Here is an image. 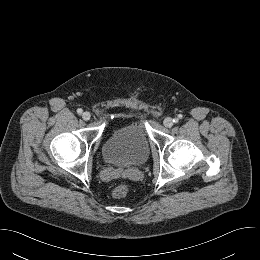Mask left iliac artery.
<instances>
[{
  "mask_svg": "<svg viewBox=\"0 0 260 260\" xmlns=\"http://www.w3.org/2000/svg\"><path fill=\"white\" fill-rule=\"evenodd\" d=\"M182 118V115H178V118L173 119V122L178 123L179 119Z\"/></svg>",
  "mask_w": 260,
  "mask_h": 260,
  "instance_id": "1",
  "label": "left iliac artery"
}]
</instances>
